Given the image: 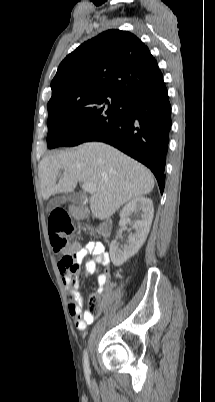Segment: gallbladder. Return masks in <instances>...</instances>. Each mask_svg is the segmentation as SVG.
I'll return each mask as SVG.
<instances>
[{
	"instance_id": "gallbladder-1",
	"label": "gallbladder",
	"mask_w": 215,
	"mask_h": 402,
	"mask_svg": "<svg viewBox=\"0 0 215 402\" xmlns=\"http://www.w3.org/2000/svg\"><path fill=\"white\" fill-rule=\"evenodd\" d=\"M66 202H71L74 204H82L84 202V198L79 193H73V194L66 195V196H58V197L53 198L49 202V204L47 206V210L51 211L54 208L60 206L63 203H66Z\"/></svg>"
}]
</instances>
